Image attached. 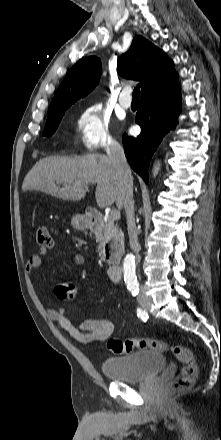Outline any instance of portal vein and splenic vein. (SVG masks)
<instances>
[{
	"instance_id": "1",
	"label": "portal vein and splenic vein",
	"mask_w": 221,
	"mask_h": 440,
	"mask_svg": "<svg viewBox=\"0 0 221 440\" xmlns=\"http://www.w3.org/2000/svg\"><path fill=\"white\" fill-rule=\"evenodd\" d=\"M109 218H110L112 221H116V220H118V219L120 218V211H119V210H116V209L111 210L110 215H109Z\"/></svg>"
}]
</instances>
